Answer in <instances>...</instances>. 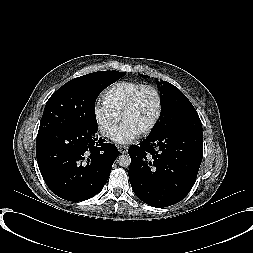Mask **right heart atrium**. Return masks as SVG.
Masks as SVG:
<instances>
[{"label": "right heart atrium", "mask_w": 253, "mask_h": 253, "mask_svg": "<svg viewBox=\"0 0 253 253\" xmlns=\"http://www.w3.org/2000/svg\"><path fill=\"white\" fill-rule=\"evenodd\" d=\"M93 116L99 133L106 138L112 136L119 122V115L110 110L103 102H97L93 108Z\"/></svg>", "instance_id": "right-heart-atrium-1"}]
</instances>
